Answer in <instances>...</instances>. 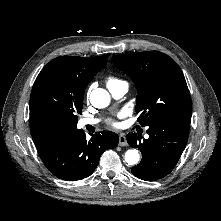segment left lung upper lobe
<instances>
[{"mask_svg": "<svg viewBox=\"0 0 221 221\" xmlns=\"http://www.w3.org/2000/svg\"><path fill=\"white\" fill-rule=\"evenodd\" d=\"M114 65L128 74L137 88V121L148 126L160 120L191 121L192 103L185 77L168 55L135 52L113 55Z\"/></svg>", "mask_w": 221, "mask_h": 221, "instance_id": "5c2ea615", "label": "left lung upper lobe"}]
</instances>
